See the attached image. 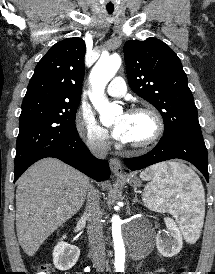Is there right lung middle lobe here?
<instances>
[{
  "mask_svg": "<svg viewBox=\"0 0 215 274\" xmlns=\"http://www.w3.org/2000/svg\"><path fill=\"white\" fill-rule=\"evenodd\" d=\"M79 102L36 100L22 104L15 167L41 149L78 136L75 126Z\"/></svg>",
  "mask_w": 215,
  "mask_h": 274,
  "instance_id": "dd1d6c3e",
  "label": "right lung middle lobe"
}]
</instances>
